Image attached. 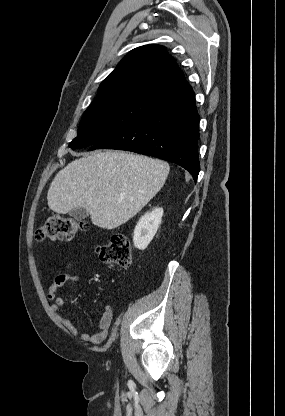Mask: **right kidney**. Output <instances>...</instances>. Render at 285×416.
I'll return each instance as SVG.
<instances>
[{"mask_svg":"<svg viewBox=\"0 0 285 416\" xmlns=\"http://www.w3.org/2000/svg\"><path fill=\"white\" fill-rule=\"evenodd\" d=\"M163 212V208H154L152 212L141 216L133 234L135 248L146 250L162 222Z\"/></svg>","mask_w":285,"mask_h":416,"instance_id":"right-kidney-1","label":"right kidney"}]
</instances>
